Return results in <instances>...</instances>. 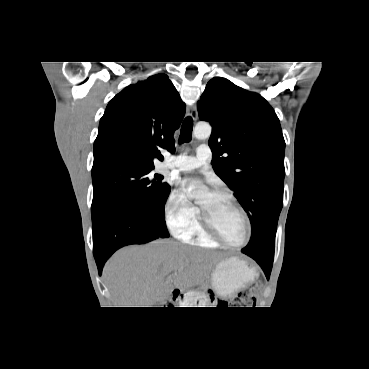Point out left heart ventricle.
<instances>
[{"mask_svg":"<svg viewBox=\"0 0 369 369\" xmlns=\"http://www.w3.org/2000/svg\"><path fill=\"white\" fill-rule=\"evenodd\" d=\"M198 204L226 240L232 243H241L244 240L245 221L231 200L207 193L200 198Z\"/></svg>","mask_w":369,"mask_h":369,"instance_id":"1","label":"left heart ventricle"}]
</instances>
